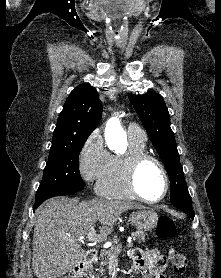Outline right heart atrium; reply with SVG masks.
<instances>
[{
	"mask_svg": "<svg viewBox=\"0 0 221 278\" xmlns=\"http://www.w3.org/2000/svg\"><path fill=\"white\" fill-rule=\"evenodd\" d=\"M111 154L106 149L101 132L95 130L87 137L78 155V171L87 183H98L110 165Z\"/></svg>",
	"mask_w": 221,
	"mask_h": 278,
	"instance_id": "d8ad5b80",
	"label": "right heart atrium"
}]
</instances>
